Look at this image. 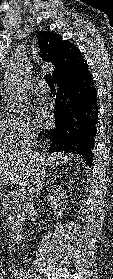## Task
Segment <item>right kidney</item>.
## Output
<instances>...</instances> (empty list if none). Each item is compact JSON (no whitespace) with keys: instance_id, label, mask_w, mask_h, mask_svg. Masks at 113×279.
<instances>
[{"instance_id":"right-kidney-1","label":"right kidney","mask_w":113,"mask_h":279,"mask_svg":"<svg viewBox=\"0 0 113 279\" xmlns=\"http://www.w3.org/2000/svg\"><path fill=\"white\" fill-rule=\"evenodd\" d=\"M67 193L66 191H60L59 189H55L49 193L47 199L50 203V206L55 210V214L57 217H61L63 215V211L65 210L64 205L67 203ZM58 209V211H56Z\"/></svg>"}]
</instances>
